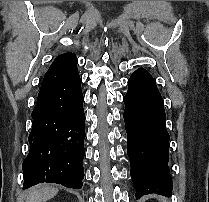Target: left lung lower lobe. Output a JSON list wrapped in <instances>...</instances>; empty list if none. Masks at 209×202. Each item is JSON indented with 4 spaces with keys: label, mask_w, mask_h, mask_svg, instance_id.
Wrapping results in <instances>:
<instances>
[{
    "label": "left lung lower lobe",
    "mask_w": 209,
    "mask_h": 202,
    "mask_svg": "<svg viewBox=\"0 0 209 202\" xmlns=\"http://www.w3.org/2000/svg\"><path fill=\"white\" fill-rule=\"evenodd\" d=\"M124 120L130 175L136 197L156 193L169 196L172 181L168 167L169 134L161 94L153 77L143 68L128 80Z\"/></svg>",
    "instance_id": "0a47b994"
}]
</instances>
